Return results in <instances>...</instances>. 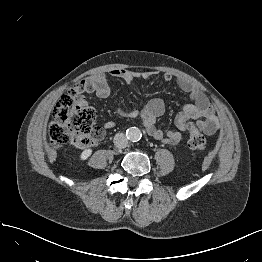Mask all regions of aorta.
Wrapping results in <instances>:
<instances>
[{
  "label": "aorta",
  "instance_id": "obj_1",
  "mask_svg": "<svg viewBox=\"0 0 262 262\" xmlns=\"http://www.w3.org/2000/svg\"><path fill=\"white\" fill-rule=\"evenodd\" d=\"M127 137L129 140L136 142L141 139L142 133L139 128L131 127L127 130Z\"/></svg>",
  "mask_w": 262,
  "mask_h": 262
}]
</instances>
